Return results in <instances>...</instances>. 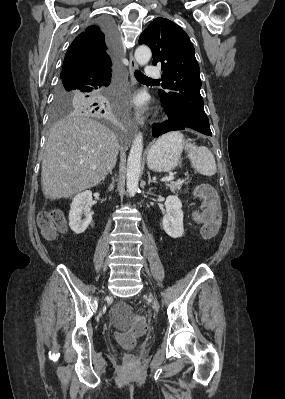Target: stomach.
<instances>
[{
    "label": "stomach",
    "mask_w": 285,
    "mask_h": 399,
    "mask_svg": "<svg viewBox=\"0 0 285 399\" xmlns=\"http://www.w3.org/2000/svg\"><path fill=\"white\" fill-rule=\"evenodd\" d=\"M183 149V136L178 132L159 138L147 155L148 168L155 172H168L179 163Z\"/></svg>",
    "instance_id": "stomach-1"
}]
</instances>
